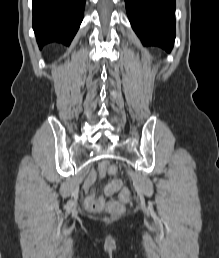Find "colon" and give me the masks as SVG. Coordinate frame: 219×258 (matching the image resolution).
I'll return each instance as SVG.
<instances>
[{"mask_svg": "<svg viewBox=\"0 0 219 258\" xmlns=\"http://www.w3.org/2000/svg\"><path fill=\"white\" fill-rule=\"evenodd\" d=\"M117 172V166L110 161H103L99 166L100 176L106 174L113 175ZM120 201L107 200L104 197L95 198L90 194L86 199V206L92 211L108 210L112 214H119L123 210L121 202H128L131 200V193L127 188H122L119 194Z\"/></svg>", "mask_w": 219, "mask_h": 258, "instance_id": "colon-1", "label": "colon"}]
</instances>
